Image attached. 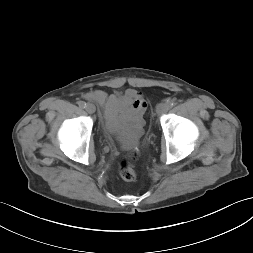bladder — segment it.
<instances>
[{
    "mask_svg": "<svg viewBox=\"0 0 253 253\" xmlns=\"http://www.w3.org/2000/svg\"><path fill=\"white\" fill-rule=\"evenodd\" d=\"M142 128H143V123L141 121L136 125L135 129L128 135L127 141L129 143L135 142L141 136Z\"/></svg>",
    "mask_w": 253,
    "mask_h": 253,
    "instance_id": "obj_1",
    "label": "bladder"
}]
</instances>
